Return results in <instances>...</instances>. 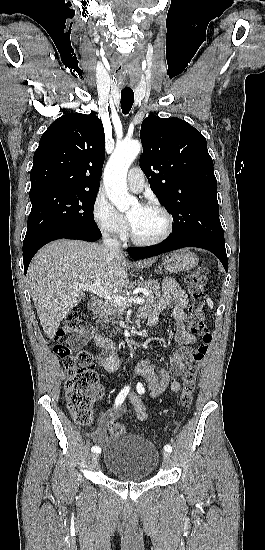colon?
I'll return each mask as SVG.
<instances>
[{
	"mask_svg": "<svg viewBox=\"0 0 265 550\" xmlns=\"http://www.w3.org/2000/svg\"><path fill=\"white\" fill-rule=\"evenodd\" d=\"M207 278L208 272L204 267L197 268L186 277L191 298L187 320L198 342L183 375L179 400L184 408L190 407L193 402L197 376L212 340L211 331L204 321L203 305L200 301ZM85 330L86 323L79 312L70 311L56 331L57 343L54 346V352L62 360L68 373L65 383L66 405L78 426H88L93 422L92 405L101 396V391L96 386L98 376L92 355L87 351L76 352L70 346L61 343V340L69 334L82 333ZM109 430L113 436H123L126 433L125 426L118 422L111 423Z\"/></svg>",
	"mask_w": 265,
	"mask_h": 550,
	"instance_id": "colon-1",
	"label": "colon"
}]
</instances>
